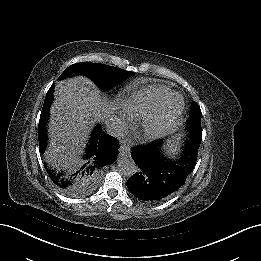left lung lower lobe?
Listing matches in <instances>:
<instances>
[{
    "label": "left lung lower lobe",
    "mask_w": 261,
    "mask_h": 261,
    "mask_svg": "<svg viewBox=\"0 0 261 261\" xmlns=\"http://www.w3.org/2000/svg\"><path fill=\"white\" fill-rule=\"evenodd\" d=\"M200 142L191 137L184 157L176 162L165 161L160 153L159 140L134 147L131 157L140 170L127 181L128 189L146 202L169 198L185 183L194 168Z\"/></svg>",
    "instance_id": "obj_1"
}]
</instances>
